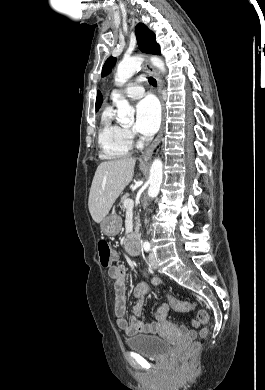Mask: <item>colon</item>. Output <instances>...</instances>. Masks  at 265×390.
Instances as JSON below:
<instances>
[{"instance_id":"5ec220e1","label":"colon","mask_w":265,"mask_h":390,"mask_svg":"<svg viewBox=\"0 0 265 390\" xmlns=\"http://www.w3.org/2000/svg\"><path fill=\"white\" fill-rule=\"evenodd\" d=\"M98 254L102 266L105 268H110L113 264L115 257H114V252L108 242L102 240L98 243ZM168 303L175 311H179V312H188L194 309V305L192 303L187 301H180L172 295L168 296ZM197 317L198 320L203 325H208L209 315L207 314V312L200 310L197 312ZM206 334H207V329L203 328L201 330V335L205 336ZM199 349H200V343L198 342L192 343L188 348V350L183 355L182 360L184 362H189L198 353Z\"/></svg>"}]
</instances>
